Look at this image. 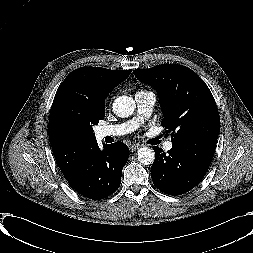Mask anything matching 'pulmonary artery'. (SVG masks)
I'll return each instance as SVG.
<instances>
[{
  "label": "pulmonary artery",
  "instance_id": "obj_1",
  "mask_svg": "<svg viewBox=\"0 0 253 253\" xmlns=\"http://www.w3.org/2000/svg\"><path fill=\"white\" fill-rule=\"evenodd\" d=\"M135 100L137 103V116L124 123L100 128V138L128 134L137 129L141 123L151 116L156 101L155 94L150 91H140L136 93ZM172 146L173 145L171 141H166L164 143L165 150H170Z\"/></svg>",
  "mask_w": 253,
  "mask_h": 253
}]
</instances>
